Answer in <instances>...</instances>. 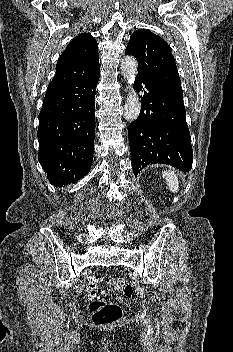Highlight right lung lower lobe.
<instances>
[{"instance_id":"right-lung-lower-lobe-1","label":"right lung lower lobe","mask_w":233,"mask_h":352,"mask_svg":"<svg viewBox=\"0 0 233 352\" xmlns=\"http://www.w3.org/2000/svg\"><path fill=\"white\" fill-rule=\"evenodd\" d=\"M99 76L100 70L46 91L39 114L38 159L56 187L75 183L90 170Z\"/></svg>"}]
</instances>
